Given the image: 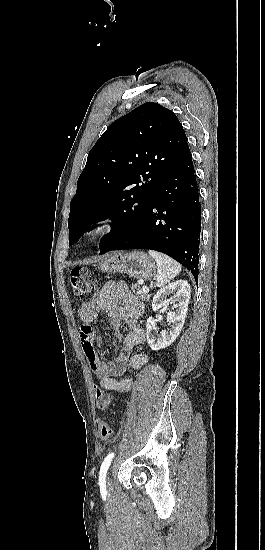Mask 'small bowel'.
I'll return each instance as SVG.
<instances>
[{
    "mask_svg": "<svg viewBox=\"0 0 265 550\" xmlns=\"http://www.w3.org/2000/svg\"><path fill=\"white\" fill-rule=\"evenodd\" d=\"M100 313H106L116 334L122 338L123 342L116 357L110 361L103 360L95 349V346L103 344L102 337L96 334L92 326ZM143 313V304L121 282L105 284L96 295L81 305L79 317L84 322L80 330L82 347L92 373L99 382L98 386H94V392L96 387L102 391L118 392H128L132 389L134 384L132 377H124L120 380L117 377L126 372L128 365L138 370L148 362L147 354L132 353L136 346L145 342L144 330L138 324V319ZM123 325L124 329H122Z\"/></svg>",
    "mask_w": 265,
    "mask_h": 550,
    "instance_id": "1",
    "label": "small bowel"
}]
</instances>
